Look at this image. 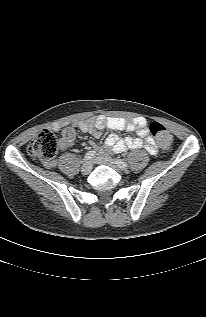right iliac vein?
<instances>
[{
    "label": "right iliac vein",
    "mask_w": 206,
    "mask_h": 317,
    "mask_svg": "<svg viewBox=\"0 0 206 317\" xmlns=\"http://www.w3.org/2000/svg\"><path fill=\"white\" fill-rule=\"evenodd\" d=\"M91 170H92L91 162L87 161L82 165V168H81L82 174L87 175L91 172Z\"/></svg>",
    "instance_id": "63e3f726"
}]
</instances>
